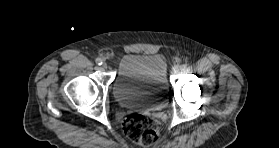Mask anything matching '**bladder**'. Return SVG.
Here are the masks:
<instances>
[{
	"instance_id": "31cf9c89",
	"label": "bladder",
	"mask_w": 279,
	"mask_h": 148,
	"mask_svg": "<svg viewBox=\"0 0 279 148\" xmlns=\"http://www.w3.org/2000/svg\"><path fill=\"white\" fill-rule=\"evenodd\" d=\"M113 95L123 107L161 110L168 103L166 62L161 55H125L113 82Z\"/></svg>"
}]
</instances>
